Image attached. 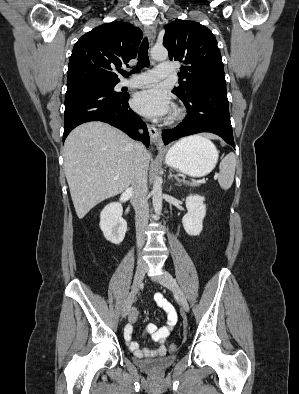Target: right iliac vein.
<instances>
[{
  "mask_svg": "<svg viewBox=\"0 0 299 394\" xmlns=\"http://www.w3.org/2000/svg\"><path fill=\"white\" fill-rule=\"evenodd\" d=\"M146 272V266L143 264H139L137 266L135 276H134V281L132 285V291L128 297V299L125 302L124 308L122 310V317H126L131 309V306L133 304L135 295L137 294L139 287L143 281L144 275Z\"/></svg>",
  "mask_w": 299,
  "mask_h": 394,
  "instance_id": "obj_1",
  "label": "right iliac vein"
}]
</instances>
